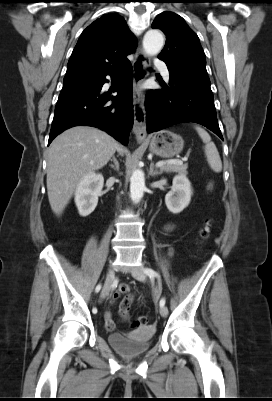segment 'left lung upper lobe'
<instances>
[{
  "mask_svg": "<svg viewBox=\"0 0 272 401\" xmlns=\"http://www.w3.org/2000/svg\"><path fill=\"white\" fill-rule=\"evenodd\" d=\"M152 28L162 30L167 37L158 58L169 71L210 82L199 38L181 16L165 11L155 18Z\"/></svg>",
  "mask_w": 272,
  "mask_h": 401,
  "instance_id": "1",
  "label": "left lung upper lobe"
}]
</instances>
